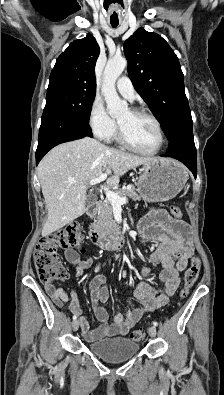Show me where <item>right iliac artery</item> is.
Here are the masks:
<instances>
[{
	"label": "right iliac artery",
	"mask_w": 224,
	"mask_h": 395,
	"mask_svg": "<svg viewBox=\"0 0 224 395\" xmlns=\"http://www.w3.org/2000/svg\"><path fill=\"white\" fill-rule=\"evenodd\" d=\"M76 319H77V316H76V315H74V316H73V320H76Z\"/></svg>",
	"instance_id": "right-iliac-artery-1"
}]
</instances>
